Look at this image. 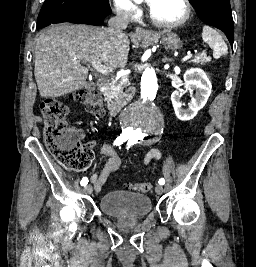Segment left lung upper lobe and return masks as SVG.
<instances>
[{
	"label": "left lung upper lobe",
	"instance_id": "1",
	"mask_svg": "<svg viewBox=\"0 0 256 267\" xmlns=\"http://www.w3.org/2000/svg\"><path fill=\"white\" fill-rule=\"evenodd\" d=\"M203 22L222 30L231 46L234 40V23L229 0H192Z\"/></svg>",
	"mask_w": 256,
	"mask_h": 267
}]
</instances>
